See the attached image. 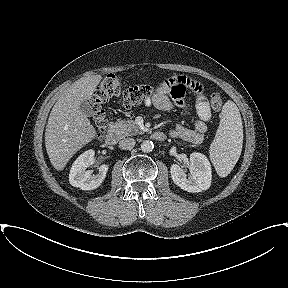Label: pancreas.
Masks as SVG:
<instances>
[{"label":"pancreas","mask_w":288,"mask_h":288,"mask_svg":"<svg viewBox=\"0 0 288 288\" xmlns=\"http://www.w3.org/2000/svg\"><path fill=\"white\" fill-rule=\"evenodd\" d=\"M115 133L119 137H126L142 133L140 126L132 120L118 119L114 124Z\"/></svg>","instance_id":"pancreas-1"}]
</instances>
